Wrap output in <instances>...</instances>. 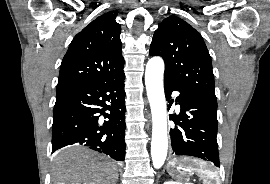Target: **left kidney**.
<instances>
[{"label": "left kidney", "mask_w": 270, "mask_h": 184, "mask_svg": "<svg viewBox=\"0 0 270 184\" xmlns=\"http://www.w3.org/2000/svg\"><path fill=\"white\" fill-rule=\"evenodd\" d=\"M164 184H180V183L174 182V181H167V182H164Z\"/></svg>", "instance_id": "1"}]
</instances>
